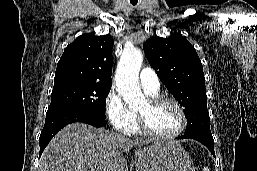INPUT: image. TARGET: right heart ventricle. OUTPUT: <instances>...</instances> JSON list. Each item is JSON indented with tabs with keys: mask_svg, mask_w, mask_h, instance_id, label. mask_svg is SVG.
<instances>
[{
	"mask_svg": "<svg viewBox=\"0 0 257 171\" xmlns=\"http://www.w3.org/2000/svg\"><path fill=\"white\" fill-rule=\"evenodd\" d=\"M147 94H149L150 96H156L157 95V93L152 94V93H148V92H147ZM126 133H128V134H139V133H141V131L139 129V126H138V123H137L136 116H135V119H134V122H133L132 126L130 127V129Z\"/></svg>",
	"mask_w": 257,
	"mask_h": 171,
	"instance_id": "obj_1",
	"label": "right heart ventricle"
}]
</instances>
